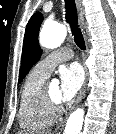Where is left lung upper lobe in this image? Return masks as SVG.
I'll list each match as a JSON object with an SVG mask.
<instances>
[{"label": "left lung upper lobe", "instance_id": "left-lung-upper-lobe-1", "mask_svg": "<svg viewBox=\"0 0 116 134\" xmlns=\"http://www.w3.org/2000/svg\"><path fill=\"white\" fill-rule=\"evenodd\" d=\"M42 21L43 15L41 13H35L27 24L24 35L19 82L22 81L32 66L41 57L42 50L38 44V34Z\"/></svg>", "mask_w": 116, "mask_h": 134}]
</instances>
